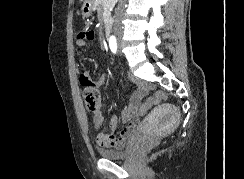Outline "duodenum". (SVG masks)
Returning <instances> with one entry per match:
<instances>
[{
  "label": "duodenum",
  "instance_id": "410a0bca",
  "mask_svg": "<svg viewBox=\"0 0 244 179\" xmlns=\"http://www.w3.org/2000/svg\"><path fill=\"white\" fill-rule=\"evenodd\" d=\"M102 31H103V35H104L106 38H108L109 35H110V24H109V23H105L104 26H103ZM146 88H147V86H142L141 90H144V89H146Z\"/></svg>",
  "mask_w": 244,
  "mask_h": 179
}]
</instances>
